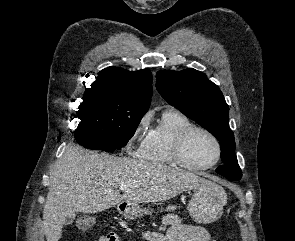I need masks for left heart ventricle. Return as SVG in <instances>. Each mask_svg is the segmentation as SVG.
Returning a JSON list of instances; mask_svg holds the SVG:
<instances>
[{
	"label": "left heart ventricle",
	"mask_w": 295,
	"mask_h": 241,
	"mask_svg": "<svg viewBox=\"0 0 295 241\" xmlns=\"http://www.w3.org/2000/svg\"><path fill=\"white\" fill-rule=\"evenodd\" d=\"M216 155L215 143L201 131H194L184 145V156L193 165H208L215 160Z\"/></svg>",
	"instance_id": "obj_1"
}]
</instances>
